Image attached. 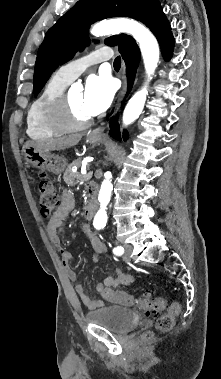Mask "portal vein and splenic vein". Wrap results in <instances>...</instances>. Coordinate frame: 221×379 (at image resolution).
I'll list each match as a JSON object with an SVG mask.
<instances>
[{
    "mask_svg": "<svg viewBox=\"0 0 221 379\" xmlns=\"http://www.w3.org/2000/svg\"><path fill=\"white\" fill-rule=\"evenodd\" d=\"M90 161H91V160H90ZM81 174H82L84 177H88V176H90L91 173H88V174H87L86 169H83V170H81Z\"/></svg>",
    "mask_w": 221,
    "mask_h": 379,
    "instance_id": "18ae733b",
    "label": "portal vein and splenic vein"
}]
</instances>
